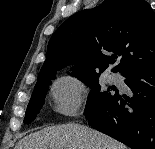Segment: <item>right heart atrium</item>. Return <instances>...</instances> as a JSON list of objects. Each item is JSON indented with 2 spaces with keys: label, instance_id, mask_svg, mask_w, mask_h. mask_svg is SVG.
I'll list each match as a JSON object with an SVG mask.
<instances>
[{
  "label": "right heart atrium",
  "instance_id": "d8ad5b80",
  "mask_svg": "<svg viewBox=\"0 0 155 149\" xmlns=\"http://www.w3.org/2000/svg\"><path fill=\"white\" fill-rule=\"evenodd\" d=\"M88 89L83 80L66 75L52 85L51 94L56 112L63 116H75L82 109Z\"/></svg>",
  "mask_w": 155,
  "mask_h": 149
}]
</instances>
